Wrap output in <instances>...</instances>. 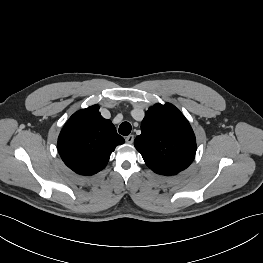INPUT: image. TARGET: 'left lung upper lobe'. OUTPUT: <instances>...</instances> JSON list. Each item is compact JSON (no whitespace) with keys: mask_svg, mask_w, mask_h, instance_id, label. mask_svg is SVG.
Listing matches in <instances>:
<instances>
[{"mask_svg":"<svg viewBox=\"0 0 263 263\" xmlns=\"http://www.w3.org/2000/svg\"><path fill=\"white\" fill-rule=\"evenodd\" d=\"M134 145L155 173L175 175L186 169L196 153L194 132L172 104H155L145 113Z\"/></svg>","mask_w":263,"mask_h":263,"instance_id":"left-lung-upper-lobe-1","label":"left lung upper lobe"}]
</instances>
